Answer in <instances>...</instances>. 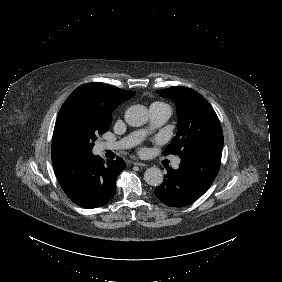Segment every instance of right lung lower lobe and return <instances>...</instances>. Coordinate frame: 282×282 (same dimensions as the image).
<instances>
[{"label": "right lung lower lobe", "mask_w": 282, "mask_h": 282, "mask_svg": "<svg viewBox=\"0 0 282 282\" xmlns=\"http://www.w3.org/2000/svg\"><path fill=\"white\" fill-rule=\"evenodd\" d=\"M126 164L121 158L106 165L92 153L53 162L56 177L67 196L84 208L105 205L115 195V181Z\"/></svg>", "instance_id": "98d812e1"}]
</instances>
